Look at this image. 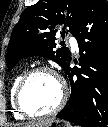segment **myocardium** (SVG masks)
Here are the masks:
<instances>
[{
    "mask_svg": "<svg viewBox=\"0 0 108 127\" xmlns=\"http://www.w3.org/2000/svg\"><path fill=\"white\" fill-rule=\"evenodd\" d=\"M38 73H48V74L52 75L53 77H55L57 79V81L59 82V85H60V98H59L58 103L50 111H48L46 113H42V114H36V113H32V112L28 111L25 108V106L23 104V100H22L23 91H24L28 81L34 75H36ZM67 99H68V87H67L66 81L55 70H53L50 67H46V66L35 67V68H32V69L28 70L27 72H25L17 85L16 91H15V97H14L15 106H16L17 110L24 117H28V118H43V117H48V116L54 115L63 108Z\"/></svg>",
    "mask_w": 108,
    "mask_h": 127,
    "instance_id": "obj_1",
    "label": "myocardium"
}]
</instances>
